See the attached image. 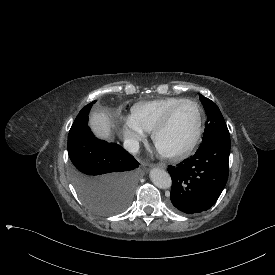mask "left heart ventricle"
<instances>
[{"label":"left heart ventricle","mask_w":275,"mask_h":275,"mask_svg":"<svg viewBox=\"0 0 275 275\" xmlns=\"http://www.w3.org/2000/svg\"><path fill=\"white\" fill-rule=\"evenodd\" d=\"M196 111L190 104L182 105L172 117L169 127L159 135V148L173 150L183 145L194 131Z\"/></svg>","instance_id":"1"}]
</instances>
